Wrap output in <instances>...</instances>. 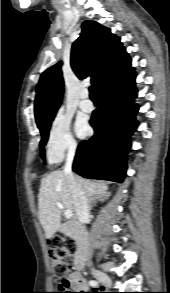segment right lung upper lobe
Instances as JSON below:
<instances>
[{
  "instance_id": "right-lung-upper-lobe-1",
  "label": "right lung upper lobe",
  "mask_w": 170,
  "mask_h": 293,
  "mask_svg": "<svg viewBox=\"0 0 170 293\" xmlns=\"http://www.w3.org/2000/svg\"><path fill=\"white\" fill-rule=\"evenodd\" d=\"M62 62L45 70L36 87L35 118L39 129L51 124L63 94ZM131 59L110 29L95 21H85L78 39L72 45L71 67L80 79L91 76L98 90L131 67Z\"/></svg>"
}]
</instances>
